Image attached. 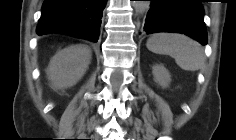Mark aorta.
Returning a JSON list of instances; mask_svg holds the SVG:
<instances>
[{"mask_svg": "<svg viewBox=\"0 0 236 140\" xmlns=\"http://www.w3.org/2000/svg\"><path fill=\"white\" fill-rule=\"evenodd\" d=\"M133 5L136 12L142 14L149 9L150 1H134Z\"/></svg>", "mask_w": 236, "mask_h": 140, "instance_id": "1", "label": "aorta"}]
</instances>
